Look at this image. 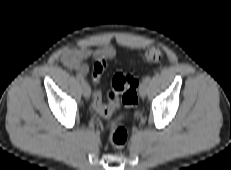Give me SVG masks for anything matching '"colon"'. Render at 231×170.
Segmentation results:
<instances>
[{
  "instance_id": "1",
  "label": "colon",
  "mask_w": 231,
  "mask_h": 170,
  "mask_svg": "<svg viewBox=\"0 0 231 170\" xmlns=\"http://www.w3.org/2000/svg\"><path fill=\"white\" fill-rule=\"evenodd\" d=\"M162 58V51L159 47L152 46L146 49L142 56L144 62H156ZM107 67L105 59L98 60L93 65V80L96 84L101 81L102 74ZM138 81L129 74L118 72L111 82V90L108 93V104H104L99 90H95L92 97V107L102 116L110 117L113 109L121 101L126 109H132L138 103L137 96ZM109 139L111 145L116 149L125 147L128 141L127 130L114 122L108 123Z\"/></svg>"
}]
</instances>
